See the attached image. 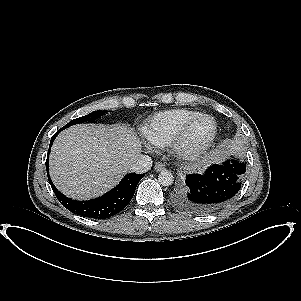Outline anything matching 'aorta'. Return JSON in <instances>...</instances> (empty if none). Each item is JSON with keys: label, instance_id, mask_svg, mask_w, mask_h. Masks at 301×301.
Segmentation results:
<instances>
[{"label": "aorta", "instance_id": "1", "mask_svg": "<svg viewBox=\"0 0 301 301\" xmlns=\"http://www.w3.org/2000/svg\"><path fill=\"white\" fill-rule=\"evenodd\" d=\"M158 182L162 186H170L174 182V177L170 171L163 170L161 173L158 175Z\"/></svg>", "mask_w": 301, "mask_h": 301}]
</instances>
